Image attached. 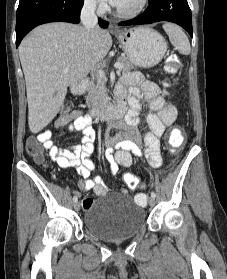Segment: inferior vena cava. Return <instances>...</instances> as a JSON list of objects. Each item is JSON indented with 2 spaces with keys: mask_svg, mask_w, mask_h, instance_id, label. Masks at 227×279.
<instances>
[{
  "mask_svg": "<svg viewBox=\"0 0 227 279\" xmlns=\"http://www.w3.org/2000/svg\"><path fill=\"white\" fill-rule=\"evenodd\" d=\"M96 3L94 0H85L81 11V21L90 36L92 31L98 27V19L95 14Z\"/></svg>",
  "mask_w": 227,
  "mask_h": 279,
  "instance_id": "1",
  "label": "inferior vena cava"
}]
</instances>
